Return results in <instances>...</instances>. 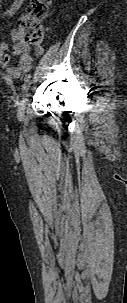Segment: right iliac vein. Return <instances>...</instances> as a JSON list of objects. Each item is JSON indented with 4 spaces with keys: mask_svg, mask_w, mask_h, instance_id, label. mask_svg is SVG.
I'll list each match as a JSON object with an SVG mask.
<instances>
[{
    "mask_svg": "<svg viewBox=\"0 0 127 303\" xmlns=\"http://www.w3.org/2000/svg\"><path fill=\"white\" fill-rule=\"evenodd\" d=\"M27 101H28V93L24 92V94L19 102L18 110H17V115H18L19 119H22L24 117Z\"/></svg>",
    "mask_w": 127,
    "mask_h": 303,
    "instance_id": "63e3f726",
    "label": "right iliac vein"
}]
</instances>
